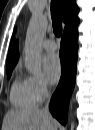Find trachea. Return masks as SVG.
Here are the masks:
<instances>
[{
	"mask_svg": "<svg viewBox=\"0 0 95 130\" xmlns=\"http://www.w3.org/2000/svg\"><path fill=\"white\" fill-rule=\"evenodd\" d=\"M51 17H52L53 31L57 37H60L62 34V21L59 9L54 0H52L51 2Z\"/></svg>",
	"mask_w": 95,
	"mask_h": 130,
	"instance_id": "obj_1",
	"label": "trachea"
}]
</instances>
